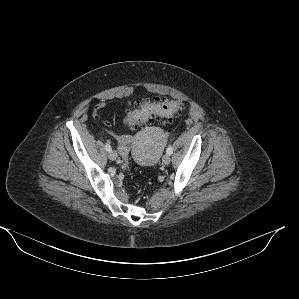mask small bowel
Here are the masks:
<instances>
[{"label": "small bowel", "instance_id": "c3829d8e", "mask_svg": "<svg viewBox=\"0 0 299 299\" xmlns=\"http://www.w3.org/2000/svg\"><path fill=\"white\" fill-rule=\"evenodd\" d=\"M116 140H117V143L119 145L120 154L122 153L124 146L125 145H130V143H131V139L127 136H118L116 138Z\"/></svg>", "mask_w": 299, "mask_h": 299}]
</instances>
